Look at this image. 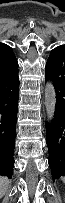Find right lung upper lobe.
Segmentation results:
<instances>
[{"label":"right lung upper lobe","mask_w":65,"mask_h":203,"mask_svg":"<svg viewBox=\"0 0 65 203\" xmlns=\"http://www.w3.org/2000/svg\"><path fill=\"white\" fill-rule=\"evenodd\" d=\"M18 67L12 48L0 43V70L10 71Z\"/></svg>","instance_id":"cb5924a9"}]
</instances>
